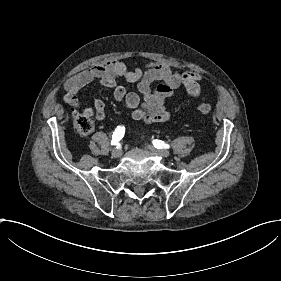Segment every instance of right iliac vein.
<instances>
[{
  "instance_id": "obj_1",
  "label": "right iliac vein",
  "mask_w": 281,
  "mask_h": 281,
  "mask_svg": "<svg viewBox=\"0 0 281 281\" xmlns=\"http://www.w3.org/2000/svg\"><path fill=\"white\" fill-rule=\"evenodd\" d=\"M121 153H122L121 150L117 148L113 151L112 156H113V158L118 159V158H120Z\"/></svg>"
}]
</instances>
